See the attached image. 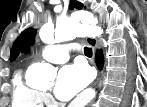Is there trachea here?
<instances>
[{
    "label": "trachea",
    "mask_w": 147,
    "mask_h": 107,
    "mask_svg": "<svg viewBox=\"0 0 147 107\" xmlns=\"http://www.w3.org/2000/svg\"><path fill=\"white\" fill-rule=\"evenodd\" d=\"M84 54H85L87 57H92V50H91L90 48L85 47V48H84Z\"/></svg>",
    "instance_id": "1"
}]
</instances>
